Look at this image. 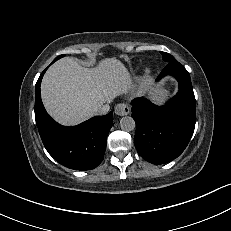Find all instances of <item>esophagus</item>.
I'll list each match as a JSON object with an SVG mask.
<instances>
[{"label": "esophagus", "mask_w": 231, "mask_h": 231, "mask_svg": "<svg viewBox=\"0 0 231 231\" xmlns=\"http://www.w3.org/2000/svg\"><path fill=\"white\" fill-rule=\"evenodd\" d=\"M129 112L130 108L124 103H120L115 106V114L118 116H125L129 114Z\"/></svg>", "instance_id": "obj_1"}]
</instances>
